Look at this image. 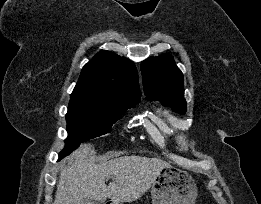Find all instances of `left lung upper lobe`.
Segmentation results:
<instances>
[{"instance_id": "left-lung-upper-lobe-1", "label": "left lung upper lobe", "mask_w": 261, "mask_h": 204, "mask_svg": "<svg viewBox=\"0 0 261 204\" xmlns=\"http://www.w3.org/2000/svg\"><path fill=\"white\" fill-rule=\"evenodd\" d=\"M141 72L148 100H159L180 114L186 112L183 74L170 54L149 57L141 63Z\"/></svg>"}]
</instances>
